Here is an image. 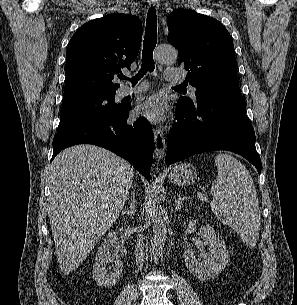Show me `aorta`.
Instances as JSON below:
<instances>
[{"label": "aorta", "mask_w": 297, "mask_h": 305, "mask_svg": "<svg viewBox=\"0 0 297 305\" xmlns=\"http://www.w3.org/2000/svg\"><path fill=\"white\" fill-rule=\"evenodd\" d=\"M155 59L161 64H172L178 57L177 50L172 46H159L155 51ZM153 233L150 241V254L154 261L162 255L167 236L168 216L166 210L157 202L153 209Z\"/></svg>", "instance_id": "762f6f07"}]
</instances>
